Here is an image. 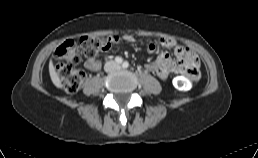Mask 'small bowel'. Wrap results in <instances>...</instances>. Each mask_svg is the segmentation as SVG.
I'll use <instances>...</instances> for the list:
<instances>
[{"label": "small bowel", "mask_w": 258, "mask_h": 158, "mask_svg": "<svg viewBox=\"0 0 258 158\" xmlns=\"http://www.w3.org/2000/svg\"><path fill=\"white\" fill-rule=\"evenodd\" d=\"M126 42H134V37L125 35ZM149 52H156L159 49H172L177 60L171 59L166 53L162 52L155 61L147 63L145 68L154 73L161 80H166L172 74H182L190 80H197L200 76V62L198 56L189 48L180 45L173 38H162L157 43L147 45ZM85 67L92 71H98L101 68V62L95 58H88Z\"/></svg>", "instance_id": "small-bowel-1"}]
</instances>
